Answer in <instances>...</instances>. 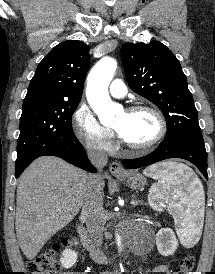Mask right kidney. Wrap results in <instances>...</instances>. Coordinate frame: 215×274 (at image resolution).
<instances>
[{
  "label": "right kidney",
  "instance_id": "obj_1",
  "mask_svg": "<svg viewBox=\"0 0 215 274\" xmlns=\"http://www.w3.org/2000/svg\"><path fill=\"white\" fill-rule=\"evenodd\" d=\"M61 261V265L64 268H70L72 267L76 261H77V253L73 250L70 249H66L63 254L62 257L60 259Z\"/></svg>",
  "mask_w": 215,
  "mask_h": 274
}]
</instances>
